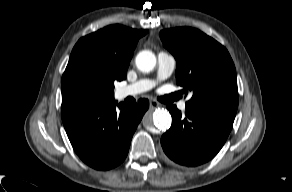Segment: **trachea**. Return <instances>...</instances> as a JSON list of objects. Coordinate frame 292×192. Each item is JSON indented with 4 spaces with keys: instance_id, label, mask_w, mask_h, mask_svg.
Returning <instances> with one entry per match:
<instances>
[{
    "instance_id": "3493384b",
    "label": "trachea",
    "mask_w": 292,
    "mask_h": 192,
    "mask_svg": "<svg viewBox=\"0 0 292 192\" xmlns=\"http://www.w3.org/2000/svg\"><path fill=\"white\" fill-rule=\"evenodd\" d=\"M175 99V97H173L172 95L170 96H164V97H161L159 100L161 102H164V103H170L171 101H173Z\"/></svg>"
}]
</instances>
